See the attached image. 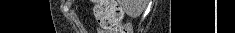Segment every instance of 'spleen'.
<instances>
[{"instance_id": "spleen-1", "label": "spleen", "mask_w": 235, "mask_h": 33, "mask_svg": "<svg viewBox=\"0 0 235 33\" xmlns=\"http://www.w3.org/2000/svg\"><path fill=\"white\" fill-rule=\"evenodd\" d=\"M141 10H142V8L138 11V12H141ZM137 12V13H138ZM133 13H135L134 11H132V12H129V14H133Z\"/></svg>"}]
</instances>
